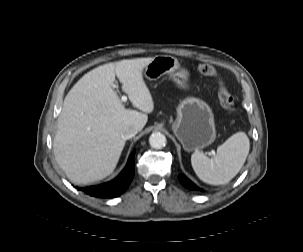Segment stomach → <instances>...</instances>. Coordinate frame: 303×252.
<instances>
[{
	"instance_id": "1",
	"label": "stomach",
	"mask_w": 303,
	"mask_h": 252,
	"mask_svg": "<svg viewBox=\"0 0 303 252\" xmlns=\"http://www.w3.org/2000/svg\"><path fill=\"white\" fill-rule=\"evenodd\" d=\"M170 75L180 88H187L190 74L186 69L179 70L177 58L159 55L145 67V77L152 81L163 75ZM172 131L181 142L184 150L191 152L212 144L216 138L214 115L209 105L201 99L188 97L177 107V118Z\"/></svg>"
}]
</instances>
